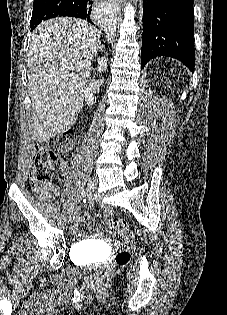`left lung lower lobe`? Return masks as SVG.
Masks as SVG:
<instances>
[{
	"label": "left lung lower lobe",
	"mask_w": 227,
	"mask_h": 315,
	"mask_svg": "<svg viewBox=\"0 0 227 315\" xmlns=\"http://www.w3.org/2000/svg\"><path fill=\"white\" fill-rule=\"evenodd\" d=\"M193 0H143L141 66L157 56L183 62L194 72Z\"/></svg>",
	"instance_id": "left-lung-lower-lobe-1"
}]
</instances>
